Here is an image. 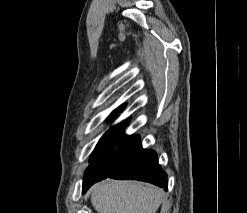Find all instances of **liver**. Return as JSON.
Instances as JSON below:
<instances>
[{"label": "liver", "mask_w": 247, "mask_h": 213, "mask_svg": "<svg viewBox=\"0 0 247 213\" xmlns=\"http://www.w3.org/2000/svg\"><path fill=\"white\" fill-rule=\"evenodd\" d=\"M163 196L148 184L107 179L92 188L91 204L98 213H156Z\"/></svg>", "instance_id": "6515ba94"}]
</instances>
